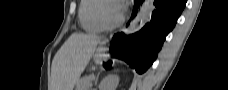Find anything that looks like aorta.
I'll list each match as a JSON object with an SVG mask.
<instances>
[{"instance_id":"762f6f07","label":"aorta","mask_w":228,"mask_h":90,"mask_svg":"<svg viewBox=\"0 0 228 90\" xmlns=\"http://www.w3.org/2000/svg\"><path fill=\"white\" fill-rule=\"evenodd\" d=\"M154 10V0H145L140 9L135 16V18L131 21L128 28L124 31L126 34H132L136 32L139 28V23H142L148 19L151 13Z\"/></svg>"}]
</instances>
